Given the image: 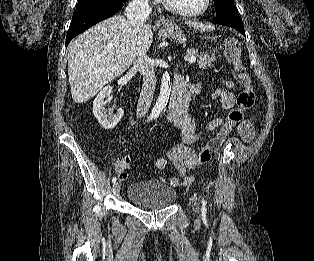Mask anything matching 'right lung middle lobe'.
Wrapping results in <instances>:
<instances>
[{
	"label": "right lung middle lobe",
	"mask_w": 314,
	"mask_h": 261,
	"mask_svg": "<svg viewBox=\"0 0 314 261\" xmlns=\"http://www.w3.org/2000/svg\"><path fill=\"white\" fill-rule=\"evenodd\" d=\"M108 1H113V0H78L76 11H81L93 5L100 4L103 2H108Z\"/></svg>",
	"instance_id": "dd1d6c3e"
}]
</instances>
